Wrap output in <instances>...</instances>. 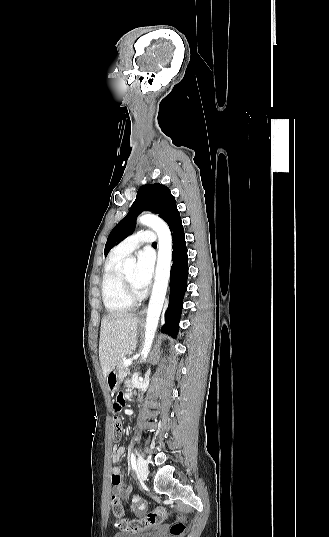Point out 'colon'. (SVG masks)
Listing matches in <instances>:
<instances>
[{
	"label": "colon",
	"instance_id": "5ec220e1",
	"mask_svg": "<svg viewBox=\"0 0 329 537\" xmlns=\"http://www.w3.org/2000/svg\"><path fill=\"white\" fill-rule=\"evenodd\" d=\"M120 396V395H119ZM115 405V404H114ZM125 405V403H124ZM123 433L122 421L119 417H115L113 421V438L119 440ZM111 511L116 518L114 526L117 528L119 534H132L137 535L141 530L159 525L167 518V512L163 508H158L147 513L144 517L139 519H126L123 517L124 509L119 497L113 495L111 498ZM186 531V525L181 519H178L170 527V534L173 537H181Z\"/></svg>",
	"mask_w": 329,
	"mask_h": 537
}]
</instances>
